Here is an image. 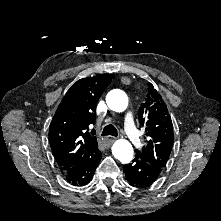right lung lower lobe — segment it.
Instances as JSON below:
<instances>
[{"label":"right lung lower lobe","mask_w":221,"mask_h":221,"mask_svg":"<svg viewBox=\"0 0 221 221\" xmlns=\"http://www.w3.org/2000/svg\"><path fill=\"white\" fill-rule=\"evenodd\" d=\"M101 157L102 154L98 148H94L81 161L63 173L66 180L75 186L88 184L94 175Z\"/></svg>","instance_id":"98d812e1"}]
</instances>
